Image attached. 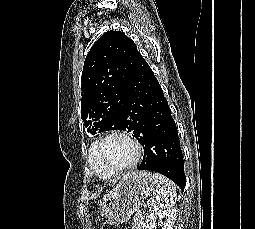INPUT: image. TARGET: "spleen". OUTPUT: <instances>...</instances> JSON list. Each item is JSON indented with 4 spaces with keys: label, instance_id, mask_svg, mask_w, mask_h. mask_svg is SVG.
Here are the masks:
<instances>
[{
    "label": "spleen",
    "instance_id": "3e777b00",
    "mask_svg": "<svg viewBox=\"0 0 255 229\" xmlns=\"http://www.w3.org/2000/svg\"><path fill=\"white\" fill-rule=\"evenodd\" d=\"M153 180L156 184V189L147 201L148 207L153 210L173 207L177 196L176 185L159 173L153 174Z\"/></svg>",
    "mask_w": 255,
    "mask_h": 229
}]
</instances>
